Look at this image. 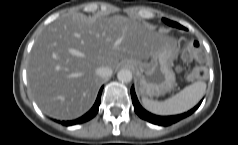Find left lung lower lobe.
Masks as SVG:
<instances>
[{
  "mask_svg": "<svg viewBox=\"0 0 238 145\" xmlns=\"http://www.w3.org/2000/svg\"><path fill=\"white\" fill-rule=\"evenodd\" d=\"M180 29H185L183 26L179 24ZM131 97H132V102L134 105L135 112L138 114V116L146 121H149L153 124L161 125V126H169L171 124H174L181 119L186 118L187 116L191 115L198 107L200 106L201 102H199L198 105H196L193 109L190 111L180 114V115H175V116H167V117H162V116H156L153 115L149 112H147L145 109L142 108L140 103L138 102V99L135 94L134 87L132 86L131 88Z\"/></svg>",
  "mask_w": 238,
  "mask_h": 145,
  "instance_id": "0a47b994",
  "label": "left lung lower lobe"
}]
</instances>
